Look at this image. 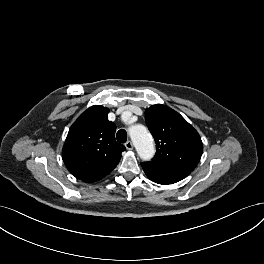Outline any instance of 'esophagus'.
Listing matches in <instances>:
<instances>
[{"label":"esophagus","instance_id":"esophagus-1","mask_svg":"<svg viewBox=\"0 0 264 264\" xmlns=\"http://www.w3.org/2000/svg\"><path fill=\"white\" fill-rule=\"evenodd\" d=\"M125 147L127 148V150H132L133 149V143L129 140L125 143Z\"/></svg>","mask_w":264,"mask_h":264}]
</instances>
